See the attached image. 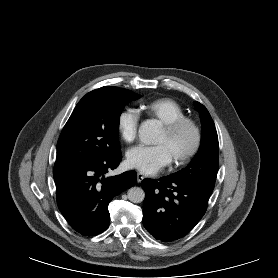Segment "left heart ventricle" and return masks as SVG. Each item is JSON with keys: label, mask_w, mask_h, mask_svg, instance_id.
<instances>
[{"label": "left heart ventricle", "mask_w": 278, "mask_h": 278, "mask_svg": "<svg viewBox=\"0 0 278 278\" xmlns=\"http://www.w3.org/2000/svg\"><path fill=\"white\" fill-rule=\"evenodd\" d=\"M192 141V132L189 128L185 127L171 137L167 136L162 130L155 144L163 145L172 161L185 153L190 148Z\"/></svg>", "instance_id": "b2bd125f"}]
</instances>
